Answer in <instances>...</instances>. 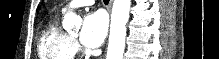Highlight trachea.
Returning <instances> with one entry per match:
<instances>
[{"label":"trachea","instance_id":"3493384b","mask_svg":"<svg viewBox=\"0 0 219 59\" xmlns=\"http://www.w3.org/2000/svg\"><path fill=\"white\" fill-rule=\"evenodd\" d=\"M104 3H105V4H108V3H109V0H104Z\"/></svg>","mask_w":219,"mask_h":59}]
</instances>
